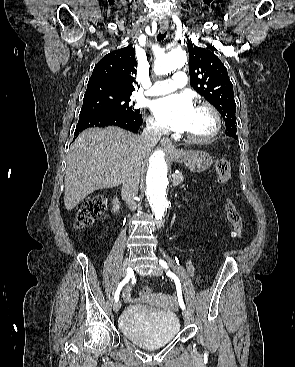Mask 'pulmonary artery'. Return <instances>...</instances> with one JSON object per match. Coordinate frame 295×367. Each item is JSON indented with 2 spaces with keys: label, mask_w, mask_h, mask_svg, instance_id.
Masks as SVG:
<instances>
[{
  "label": "pulmonary artery",
  "mask_w": 295,
  "mask_h": 367,
  "mask_svg": "<svg viewBox=\"0 0 295 367\" xmlns=\"http://www.w3.org/2000/svg\"><path fill=\"white\" fill-rule=\"evenodd\" d=\"M187 84V75L184 71H177L171 79L161 80L154 83L152 88L147 92L152 96H159L170 93L178 88H182Z\"/></svg>",
  "instance_id": "obj_1"
}]
</instances>
